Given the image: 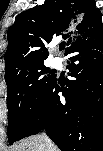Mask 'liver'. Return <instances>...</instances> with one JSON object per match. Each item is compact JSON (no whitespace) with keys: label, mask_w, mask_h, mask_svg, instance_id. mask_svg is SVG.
Returning a JSON list of instances; mask_svg holds the SVG:
<instances>
[{"label":"liver","mask_w":103,"mask_h":151,"mask_svg":"<svg viewBox=\"0 0 103 151\" xmlns=\"http://www.w3.org/2000/svg\"><path fill=\"white\" fill-rule=\"evenodd\" d=\"M43 135H36L27 138L13 147L12 151H45ZM50 151H58L57 147L53 144Z\"/></svg>","instance_id":"liver-1"}]
</instances>
